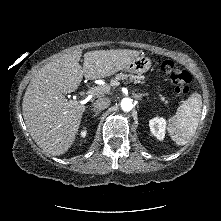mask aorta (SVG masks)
Instances as JSON below:
<instances>
[{
    "label": "aorta",
    "mask_w": 221,
    "mask_h": 221,
    "mask_svg": "<svg viewBox=\"0 0 221 221\" xmlns=\"http://www.w3.org/2000/svg\"><path fill=\"white\" fill-rule=\"evenodd\" d=\"M121 108L123 111H130L133 108V101L130 98H123L121 101Z\"/></svg>",
    "instance_id": "1"
}]
</instances>
